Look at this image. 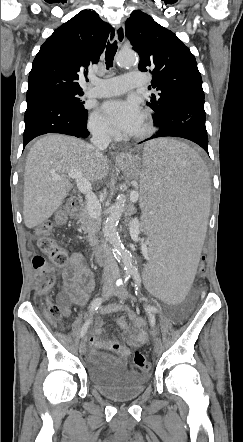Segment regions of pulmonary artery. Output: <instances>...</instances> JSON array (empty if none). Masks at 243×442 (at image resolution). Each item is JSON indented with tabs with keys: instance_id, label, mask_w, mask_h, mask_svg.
Returning a JSON list of instances; mask_svg holds the SVG:
<instances>
[{
	"instance_id": "obj_1",
	"label": "pulmonary artery",
	"mask_w": 243,
	"mask_h": 442,
	"mask_svg": "<svg viewBox=\"0 0 243 442\" xmlns=\"http://www.w3.org/2000/svg\"><path fill=\"white\" fill-rule=\"evenodd\" d=\"M145 82L144 76L138 72H128L124 75L107 79H91V87L85 92L90 97H109L119 95L129 89L140 87Z\"/></svg>"
}]
</instances>
